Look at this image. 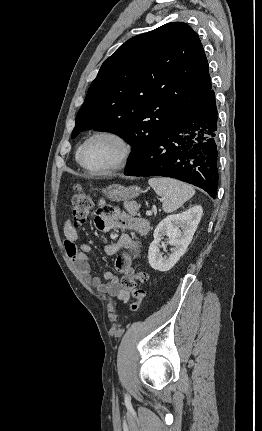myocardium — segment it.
Returning <instances> with one entry per match:
<instances>
[{
  "instance_id": "f54148a6",
  "label": "myocardium",
  "mask_w": 262,
  "mask_h": 431,
  "mask_svg": "<svg viewBox=\"0 0 262 431\" xmlns=\"http://www.w3.org/2000/svg\"><path fill=\"white\" fill-rule=\"evenodd\" d=\"M97 138H111L115 140L119 146H120V156L114 166H112L109 169L101 170V171H95L90 168H88L84 162V155L85 151L87 149V146L89 143ZM133 152V147L130 142V140L122 133L118 131L113 130H104L99 131L94 134H92L90 137H88L84 143L82 144L79 155H78V161L80 166L91 176H106L114 174L120 170H122L128 163L131 155Z\"/></svg>"
}]
</instances>
